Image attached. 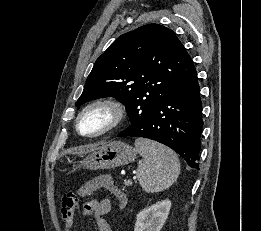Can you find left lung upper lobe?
<instances>
[{
	"mask_svg": "<svg viewBox=\"0 0 261 231\" xmlns=\"http://www.w3.org/2000/svg\"><path fill=\"white\" fill-rule=\"evenodd\" d=\"M194 70L172 30L147 24L118 37L97 59L76 106L112 96L125 104L131 124L142 122Z\"/></svg>",
	"mask_w": 261,
	"mask_h": 231,
	"instance_id": "5c2ea615",
	"label": "left lung upper lobe"
}]
</instances>
